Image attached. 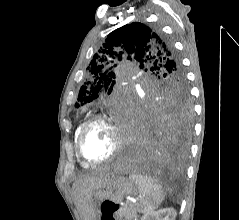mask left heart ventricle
Listing matches in <instances>:
<instances>
[{
  "instance_id": "1",
  "label": "left heart ventricle",
  "mask_w": 239,
  "mask_h": 220,
  "mask_svg": "<svg viewBox=\"0 0 239 220\" xmlns=\"http://www.w3.org/2000/svg\"><path fill=\"white\" fill-rule=\"evenodd\" d=\"M117 137L113 128L106 123H98L90 128L84 140L85 154L100 160L108 157L115 149Z\"/></svg>"
}]
</instances>
